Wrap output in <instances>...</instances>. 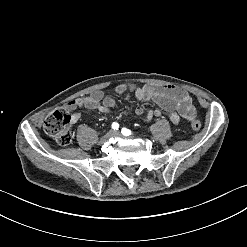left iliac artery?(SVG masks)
I'll return each mask as SVG.
<instances>
[{"instance_id":"left-iliac-artery-1","label":"left iliac artery","mask_w":247,"mask_h":247,"mask_svg":"<svg viewBox=\"0 0 247 247\" xmlns=\"http://www.w3.org/2000/svg\"><path fill=\"white\" fill-rule=\"evenodd\" d=\"M121 133L124 135V136H129L131 135V131L127 128H122L121 130Z\"/></svg>"}]
</instances>
